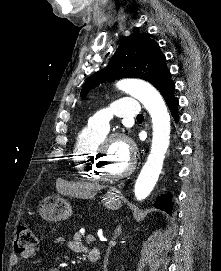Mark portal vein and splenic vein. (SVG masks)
<instances>
[{
  "mask_svg": "<svg viewBox=\"0 0 221 271\" xmlns=\"http://www.w3.org/2000/svg\"><path fill=\"white\" fill-rule=\"evenodd\" d=\"M85 240L87 242H95V236L93 234H88V236Z\"/></svg>",
  "mask_w": 221,
  "mask_h": 271,
  "instance_id": "obj_1",
  "label": "portal vein and splenic vein"
}]
</instances>
